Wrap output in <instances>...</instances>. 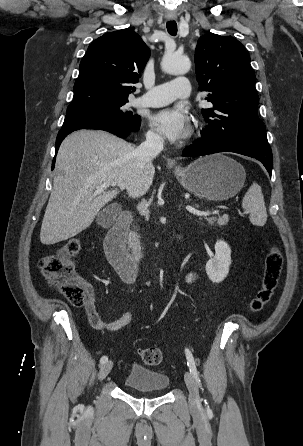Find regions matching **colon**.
Masks as SVG:
<instances>
[{"label":"colon","mask_w":303,"mask_h":446,"mask_svg":"<svg viewBox=\"0 0 303 446\" xmlns=\"http://www.w3.org/2000/svg\"><path fill=\"white\" fill-rule=\"evenodd\" d=\"M80 250V241L72 238L64 242L56 253L42 257L38 263L43 277L57 286L62 296L74 306H83L87 302L86 294L76 279L73 264V258ZM282 265L281 251L272 247L265 257L261 287L248 303V311L258 312L270 301L278 286ZM139 356L143 363L149 366L159 365L163 358L158 348L142 349Z\"/></svg>","instance_id":"obj_1"}]
</instances>
